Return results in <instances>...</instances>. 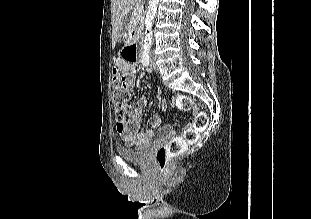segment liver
I'll list each match as a JSON object with an SVG mask.
<instances>
[{
  "label": "liver",
  "mask_w": 311,
  "mask_h": 219,
  "mask_svg": "<svg viewBox=\"0 0 311 219\" xmlns=\"http://www.w3.org/2000/svg\"><path fill=\"white\" fill-rule=\"evenodd\" d=\"M112 3V39L113 45L116 44L118 37L123 29L125 18L128 15L134 0H111Z\"/></svg>",
  "instance_id": "6515ba94"
}]
</instances>
